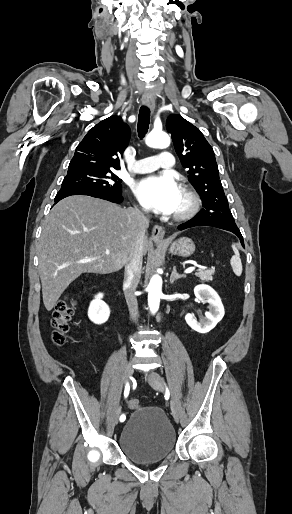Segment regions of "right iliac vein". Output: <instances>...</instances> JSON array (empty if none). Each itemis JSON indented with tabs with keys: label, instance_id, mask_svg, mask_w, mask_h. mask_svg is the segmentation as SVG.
<instances>
[{
	"label": "right iliac vein",
	"instance_id": "63e3f726",
	"mask_svg": "<svg viewBox=\"0 0 292 514\" xmlns=\"http://www.w3.org/2000/svg\"><path fill=\"white\" fill-rule=\"evenodd\" d=\"M133 372H134V369H133L132 363H128L125 368V377H126L127 382H129L131 380ZM119 413H120V411H119V409H117L115 412V415H114V423L115 424H117V422H118Z\"/></svg>",
	"mask_w": 292,
	"mask_h": 514
}]
</instances>
